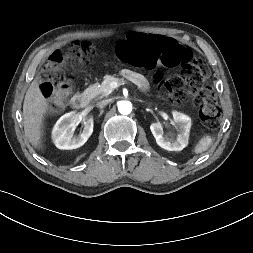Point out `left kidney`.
I'll use <instances>...</instances> for the list:
<instances>
[{"label": "left kidney", "instance_id": "obj_1", "mask_svg": "<svg viewBox=\"0 0 253 253\" xmlns=\"http://www.w3.org/2000/svg\"><path fill=\"white\" fill-rule=\"evenodd\" d=\"M171 124L177 129V135L163 136V126L160 122L152 123L150 130L156 139L157 144L168 151H181L188 144L191 119L183 113L173 111Z\"/></svg>", "mask_w": 253, "mask_h": 253}]
</instances>
